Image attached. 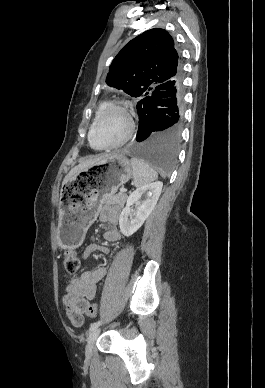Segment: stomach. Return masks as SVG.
<instances>
[{"mask_svg":"<svg viewBox=\"0 0 265 388\" xmlns=\"http://www.w3.org/2000/svg\"><path fill=\"white\" fill-rule=\"evenodd\" d=\"M131 175L132 166L128 158L122 153H114L72 176L60 194L59 246L79 247L104 199L129 181Z\"/></svg>","mask_w":265,"mask_h":388,"instance_id":"0dacf381","label":"stomach"}]
</instances>
